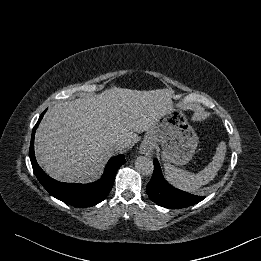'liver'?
<instances>
[{"label":"liver","instance_id":"6515ba94","mask_svg":"<svg viewBox=\"0 0 261 261\" xmlns=\"http://www.w3.org/2000/svg\"><path fill=\"white\" fill-rule=\"evenodd\" d=\"M173 91L126 88L59 102L43 117L35 135L37 161L54 179L84 182L97 178L119 140L133 146L164 112Z\"/></svg>","mask_w":261,"mask_h":261}]
</instances>
